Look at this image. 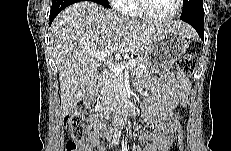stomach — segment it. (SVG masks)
<instances>
[{"mask_svg":"<svg viewBox=\"0 0 231 151\" xmlns=\"http://www.w3.org/2000/svg\"><path fill=\"white\" fill-rule=\"evenodd\" d=\"M188 43L185 36L169 31L159 36L143 53V59L151 73L169 70L186 52Z\"/></svg>","mask_w":231,"mask_h":151,"instance_id":"1","label":"stomach"}]
</instances>
